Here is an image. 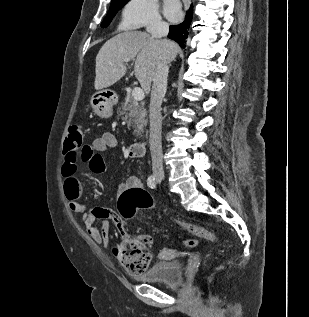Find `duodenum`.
Segmentation results:
<instances>
[{
  "mask_svg": "<svg viewBox=\"0 0 309 317\" xmlns=\"http://www.w3.org/2000/svg\"><path fill=\"white\" fill-rule=\"evenodd\" d=\"M127 152L129 157H142L145 154V143L141 141L135 142L129 146Z\"/></svg>",
  "mask_w": 309,
  "mask_h": 317,
  "instance_id": "1",
  "label": "duodenum"
}]
</instances>
